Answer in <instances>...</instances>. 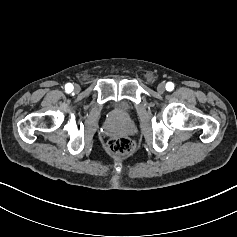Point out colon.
<instances>
[{"instance_id": "1", "label": "colon", "mask_w": 237, "mask_h": 237, "mask_svg": "<svg viewBox=\"0 0 237 237\" xmlns=\"http://www.w3.org/2000/svg\"><path fill=\"white\" fill-rule=\"evenodd\" d=\"M107 149L114 156H125L133 151L134 144L129 137L119 136L108 142Z\"/></svg>"}]
</instances>
